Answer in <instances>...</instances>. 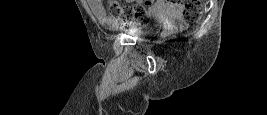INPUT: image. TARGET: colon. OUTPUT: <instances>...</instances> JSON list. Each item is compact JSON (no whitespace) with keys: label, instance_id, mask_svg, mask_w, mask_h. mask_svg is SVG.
<instances>
[{"label":"colon","instance_id":"colon-1","mask_svg":"<svg viewBox=\"0 0 267 115\" xmlns=\"http://www.w3.org/2000/svg\"><path fill=\"white\" fill-rule=\"evenodd\" d=\"M183 8V17L187 22H196L202 15V4L199 0H172ZM151 2L136 5H122L119 1L109 2V12L120 24L144 20L146 18V6Z\"/></svg>","mask_w":267,"mask_h":115}]
</instances>
